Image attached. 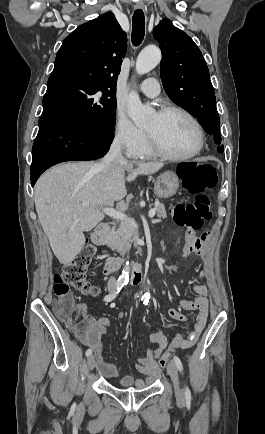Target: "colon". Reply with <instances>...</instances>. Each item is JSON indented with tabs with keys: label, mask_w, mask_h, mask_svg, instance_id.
<instances>
[{
	"label": "colon",
	"mask_w": 265,
	"mask_h": 434,
	"mask_svg": "<svg viewBox=\"0 0 265 434\" xmlns=\"http://www.w3.org/2000/svg\"><path fill=\"white\" fill-rule=\"evenodd\" d=\"M196 159L187 158L184 164H180V181L185 182V190L195 194L193 202L176 203L172 210V219L175 224L182 228L197 233L203 223L211 218L209 211V199L207 191L214 189L216 185V170L212 165L197 164ZM91 262L89 251L81 252L72 262L66 264L63 271L54 277L53 291L56 295L54 307L60 319L61 327H77V314L68 305L66 298L70 290L74 289L84 295L95 296L98 288L87 280V272ZM182 337L174 338L172 348L182 347ZM187 343V342H186ZM164 356L158 361L159 365L167 362L173 354L170 348L164 351Z\"/></svg>",
	"instance_id": "1"
}]
</instances>
